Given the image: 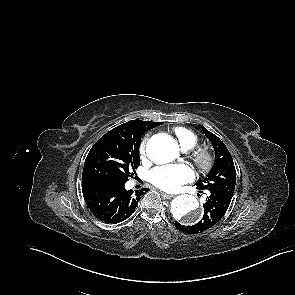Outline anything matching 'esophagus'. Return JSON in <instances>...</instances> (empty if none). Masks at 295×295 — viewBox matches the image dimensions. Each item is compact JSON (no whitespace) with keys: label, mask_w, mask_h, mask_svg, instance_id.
<instances>
[{"label":"esophagus","mask_w":295,"mask_h":295,"mask_svg":"<svg viewBox=\"0 0 295 295\" xmlns=\"http://www.w3.org/2000/svg\"><path fill=\"white\" fill-rule=\"evenodd\" d=\"M161 195L166 198V199H171L172 197H174V195L172 194H167V193H164V192H161Z\"/></svg>","instance_id":"obj_1"}]
</instances>
